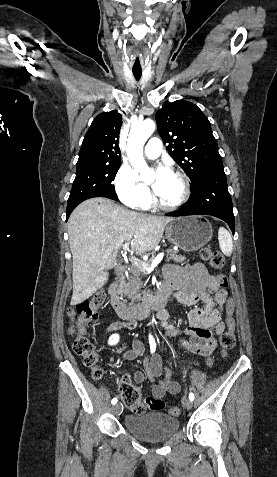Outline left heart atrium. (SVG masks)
Wrapping results in <instances>:
<instances>
[{"instance_id": "obj_1", "label": "left heart atrium", "mask_w": 277, "mask_h": 477, "mask_svg": "<svg viewBox=\"0 0 277 477\" xmlns=\"http://www.w3.org/2000/svg\"><path fill=\"white\" fill-rule=\"evenodd\" d=\"M172 174V172L166 166H160L156 171V183H155V191L158 192L165 180Z\"/></svg>"}]
</instances>
